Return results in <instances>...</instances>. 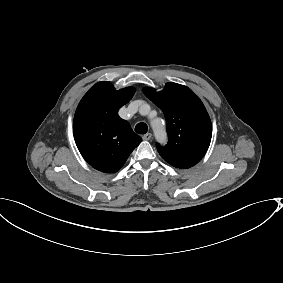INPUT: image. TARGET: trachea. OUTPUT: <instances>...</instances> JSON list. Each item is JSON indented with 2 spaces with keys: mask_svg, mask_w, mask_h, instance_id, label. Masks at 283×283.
I'll list each match as a JSON object with an SVG mask.
<instances>
[{
  "mask_svg": "<svg viewBox=\"0 0 283 283\" xmlns=\"http://www.w3.org/2000/svg\"><path fill=\"white\" fill-rule=\"evenodd\" d=\"M147 131H148V126L143 122L138 123L135 126V132L138 133V134H145V133H147Z\"/></svg>",
  "mask_w": 283,
  "mask_h": 283,
  "instance_id": "1",
  "label": "trachea"
}]
</instances>
